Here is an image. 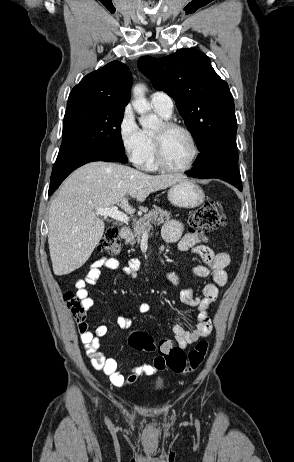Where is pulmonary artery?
<instances>
[{
  "mask_svg": "<svg viewBox=\"0 0 294 462\" xmlns=\"http://www.w3.org/2000/svg\"><path fill=\"white\" fill-rule=\"evenodd\" d=\"M150 101L152 106L170 116L173 113L174 103L172 98L165 92L157 91L151 94Z\"/></svg>",
  "mask_w": 294,
  "mask_h": 462,
  "instance_id": "pulmonary-artery-1",
  "label": "pulmonary artery"
}]
</instances>
